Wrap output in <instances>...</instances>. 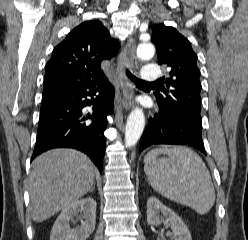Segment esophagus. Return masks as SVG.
Wrapping results in <instances>:
<instances>
[{
  "instance_id": "esophagus-1",
  "label": "esophagus",
  "mask_w": 248,
  "mask_h": 240,
  "mask_svg": "<svg viewBox=\"0 0 248 240\" xmlns=\"http://www.w3.org/2000/svg\"><path fill=\"white\" fill-rule=\"evenodd\" d=\"M136 43L133 38H129L118 59L117 80L118 92L115 98V109L123 108L129 110L132 106L133 87L126 74V70L133 65L135 58Z\"/></svg>"
}]
</instances>
